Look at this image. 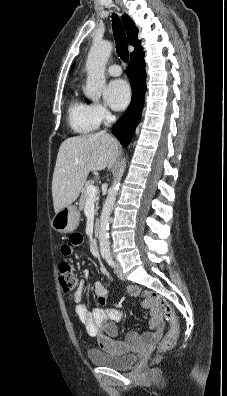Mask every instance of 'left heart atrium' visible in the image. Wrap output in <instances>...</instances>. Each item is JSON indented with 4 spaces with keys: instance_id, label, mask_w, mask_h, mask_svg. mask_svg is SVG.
I'll use <instances>...</instances> for the list:
<instances>
[{
    "instance_id": "39dd6f15",
    "label": "left heart atrium",
    "mask_w": 227,
    "mask_h": 396,
    "mask_svg": "<svg viewBox=\"0 0 227 396\" xmlns=\"http://www.w3.org/2000/svg\"><path fill=\"white\" fill-rule=\"evenodd\" d=\"M104 97L113 109L122 110L128 105L131 98L129 85L122 79L113 80L107 85Z\"/></svg>"
}]
</instances>
